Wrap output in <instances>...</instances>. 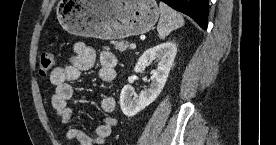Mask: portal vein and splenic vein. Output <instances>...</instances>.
<instances>
[{
    "instance_id": "obj_1",
    "label": "portal vein and splenic vein",
    "mask_w": 276,
    "mask_h": 145,
    "mask_svg": "<svg viewBox=\"0 0 276 145\" xmlns=\"http://www.w3.org/2000/svg\"><path fill=\"white\" fill-rule=\"evenodd\" d=\"M130 49H136V44L134 43L130 44Z\"/></svg>"
}]
</instances>
